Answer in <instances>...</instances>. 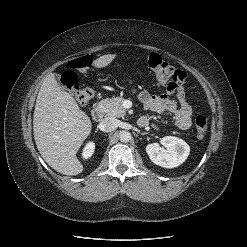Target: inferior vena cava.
Listing matches in <instances>:
<instances>
[{
  "instance_id": "inferior-vena-cava-1",
  "label": "inferior vena cava",
  "mask_w": 247,
  "mask_h": 247,
  "mask_svg": "<svg viewBox=\"0 0 247 247\" xmlns=\"http://www.w3.org/2000/svg\"><path fill=\"white\" fill-rule=\"evenodd\" d=\"M117 128V121L113 117H106L100 123V129L104 132H111Z\"/></svg>"
}]
</instances>
